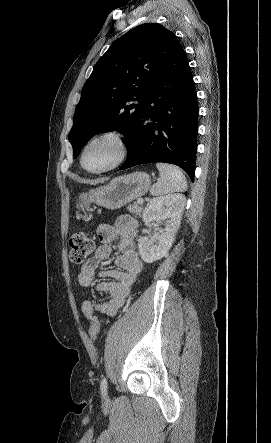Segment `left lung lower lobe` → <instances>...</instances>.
Returning a JSON list of instances; mask_svg holds the SVG:
<instances>
[{"label":"left lung lower lobe","mask_w":271,"mask_h":443,"mask_svg":"<svg viewBox=\"0 0 271 443\" xmlns=\"http://www.w3.org/2000/svg\"><path fill=\"white\" fill-rule=\"evenodd\" d=\"M149 121V122H146ZM198 135V102L189 61L179 45L157 71L146 106L127 146L120 170L152 162L181 167L193 180Z\"/></svg>","instance_id":"obj_1"}]
</instances>
